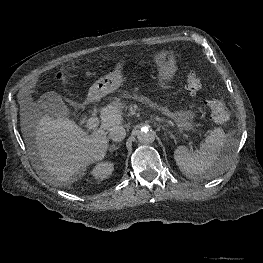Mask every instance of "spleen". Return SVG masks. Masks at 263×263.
<instances>
[{
    "instance_id": "spleen-1",
    "label": "spleen",
    "mask_w": 263,
    "mask_h": 263,
    "mask_svg": "<svg viewBox=\"0 0 263 263\" xmlns=\"http://www.w3.org/2000/svg\"><path fill=\"white\" fill-rule=\"evenodd\" d=\"M237 141L227 137L222 128H214L199 149L191 152L186 146L174 151V159L180 171L189 179L209 178L218 175L231 164ZM224 152L222 153V151ZM214 167L213 173H208Z\"/></svg>"
}]
</instances>
